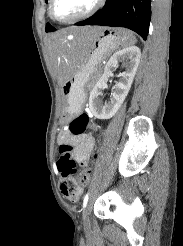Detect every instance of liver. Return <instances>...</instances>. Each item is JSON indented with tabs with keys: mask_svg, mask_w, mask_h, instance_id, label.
Wrapping results in <instances>:
<instances>
[{
	"mask_svg": "<svg viewBox=\"0 0 183 246\" xmlns=\"http://www.w3.org/2000/svg\"><path fill=\"white\" fill-rule=\"evenodd\" d=\"M101 29V27L67 28L48 37L49 54L60 84H64L72 77L84 43L92 41ZM68 34L75 37L74 44L65 43Z\"/></svg>",
	"mask_w": 183,
	"mask_h": 246,
	"instance_id": "6515ba94",
	"label": "liver"
}]
</instances>
